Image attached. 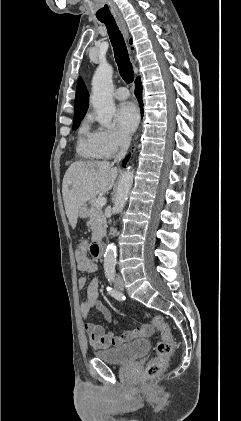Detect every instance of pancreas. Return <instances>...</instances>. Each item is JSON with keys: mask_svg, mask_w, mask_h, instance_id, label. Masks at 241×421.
Returning <instances> with one entry per match:
<instances>
[{"mask_svg": "<svg viewBox=\"0 0 241 421\" xmlns=\"http://www.w3.org/2000/svg\"><path fill=\"white\" fill-rule=\"evenodd\" d=\"M89 204V224L92 230V239H101L106 234V217L103 214L102 208L95 205V199L90 200Z\"/></svg>", "mask_w": 241, "mask_h": 421, "instance_id": "1", "label": "pancreas"}]
</instances>
